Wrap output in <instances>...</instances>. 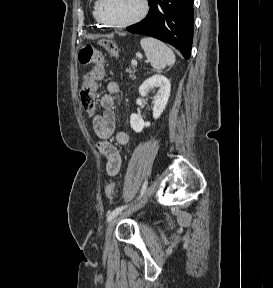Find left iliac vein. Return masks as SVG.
Here are the masks:
<instances>
[{
    "instance_id": "1",
    "label": "left iliac vein",
    "mask_w": 273,
    "mask_h": 288,
    "mask_svg": "<svg viewBox=\"0 0 273 288\" xmlns=\"http://www.w3.org/2000/svg\"><path fill=\"white\" fill-rule=\"evenodd\" d=\"M145 203H146V200L142 204H140L138 207H136V208H134L132 210H128L126 212H122V213L118 214L114 219H112L110 221V223L107 226L106 232H105V244H106L107 247L111 246L112 232H113V229H114L116 223L120 219L130 215L132 212H134V211L138 210L139 208H141Z\"/></svg>"
}]
</instances>
